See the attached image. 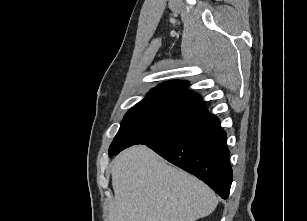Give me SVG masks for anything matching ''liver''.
<instances>
[{"label": "liver", "instance_id": "1", "mask_svg": "<svg viewBox=\"0 0 307 221\" xmlns=\"http://www.w3.org/2000/svg\"><path fill=\"white\" fill-rule=\"evenodd\" d=\"M114 200L109 221H196L218 200L202 181L168 165L146 146H133L111 164Z\"/></svg>", "mask_w": 307, "mask_h": 221}]
</instances>
